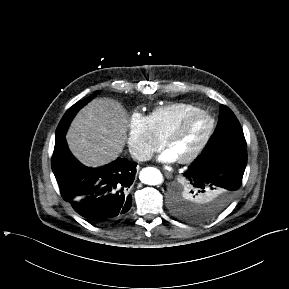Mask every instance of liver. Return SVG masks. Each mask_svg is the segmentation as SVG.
Masks as SVG:
<instances>
[{
	"label": "liver",
	"instance_id": "1",
	"mask_svg": "<svg viewBox=\"0 0 289 289\" xmlns=\"http://www.w3.org/2000/svg\"><path fill=\"white\" fill-rule=\"evenodd\" d=\"M129 117L124 107L109 98H96L72 121L66 140L72 154L84 165L99 167L120 155L127 139Z\"/></svg>",
	"mask_w": 289,
	"mask_h": 289
}]
</instances>
